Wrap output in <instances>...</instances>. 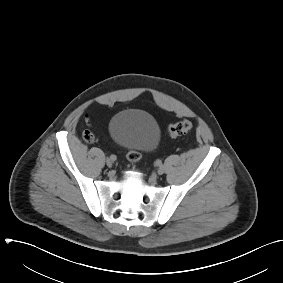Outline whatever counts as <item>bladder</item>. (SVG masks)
Here are the masks:
<instances>
[{
  "label": "bladder",
  "instance_id": "bladder-1",
  "mask_svg": "<svg viewBox=\"0 0 283 283\" xmlns=\"http://www.w3.org/2000/svg\"><path fill=\"white\" fill-rule=\"evenodd\" d=\"M111 139L126 150L151 152L160 142L161 132L156 119L140 109L116 113L109 122Z\"/></svg>",
  "mask_w": 283,
  "mask_h": 283
}]
</instances>
